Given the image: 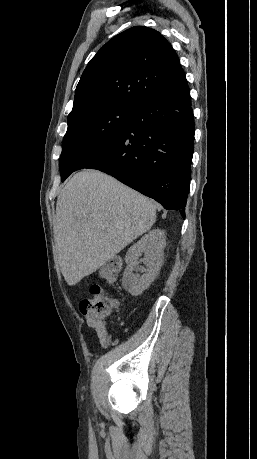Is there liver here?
Returning <instances> with one entry per match:
<instances>
[{
  "label": "liver",
  "instance_id": "liver-1",
  "mask_svg": "<svg viewBox=\"0 0 257 459\" xmlns=\"http://www.w3.org/2000/svg\"><path fill=\"white\" fill-rule=\"evenodd\" d=\"M151 200L97 171L76 173L56 203L54 238L68 285L80 282L150 230Z\"/></svg>",
  "mask_w": 257,
  "mask_h": 459
}]
</instances>
